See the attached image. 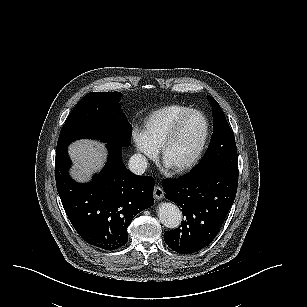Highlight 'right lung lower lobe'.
Returning a JSON list of instances; mask_svg holds the SVG:
<instances>
[{
    "instance_id": "right-lung-lower-lobe-1",
    "label": "right lung lower lobe",
    "mask_w": 307,
    "mask_h": 307,
    "mask_svg": "<svg viewBox=\"0 0 307 307\" xmlns=\"http://www.w3.org/2000/svg\"><path fill=\"white\" fill-rule=\"evenodd\" d=\"M107 147L108 163L88 184L69 176L67 147L56 151L55 178L63 208L81 238L91 246L115 250L126 244L133 217L153 205L154 179L126 169L122 146Z\"/></svg>"
}]
</instances>
